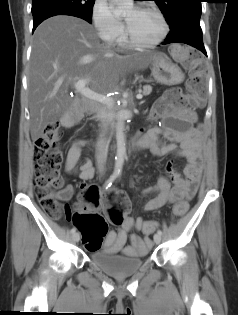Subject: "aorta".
Here are the masks:
<instances>
[{
	"mask_svg": "<svg viewBox=\"0 0 238 315\" xmlns=\"http://www.w3.org/2000/svg\"><path fill=\"white\" fill-rule=\"evenodd\" d=\"M115 12L117 14H125L133 8L132 0H118ZM117 153L115 157V174H120L124 164L126 154V143L124 134V118L120 116L116 126Z\"/></svg>",
	"mask_w": 238,
	"mask_h": 315,
	"instance_id": "1",
	"label": "aorta"
}]
</instances>
